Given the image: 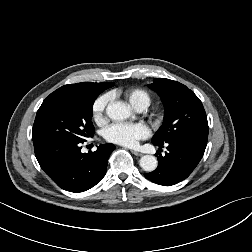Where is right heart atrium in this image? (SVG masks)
I'll list each match as a JSON object with an SVG mask.
<instances>
[{
	"label": "right heart atrium",
	"instance_id": "1",
	"mask_svg": "<svg viewBox=\"0 0 252 252\" xmlns=\"http://www.w3.org/2000/svg\"><path fill=\"white\" fill-rule=\"evenodd\" d=\"M108 101V95H102L94 101L92 105V116L95 122L100 123L104 120Z\"/></svg>",
	"mask_w": 252,
	"mask_h": 252
}]
</instances>
